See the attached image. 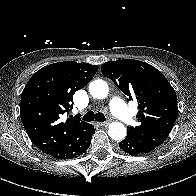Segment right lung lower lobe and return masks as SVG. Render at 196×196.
<instances>
[{
    "mask_svg": "<svg viewBox=\"0 0 196 196\" xmlns=\"http://www.w3.org/2000/svg\"><path fill=\"white\" fill-rule=\"evenodd\" d=\"M93 133L94 127L89 124L84 130L78 133L67 146L51 153L50 155L56 159L76 158L88 149Z\"/></svg>",
    "mask_w": 196,
    "mask_h": 196,
    "instance_id": "98d812e1",
    "label": "right lung lower lobe"
}]
</instances>
